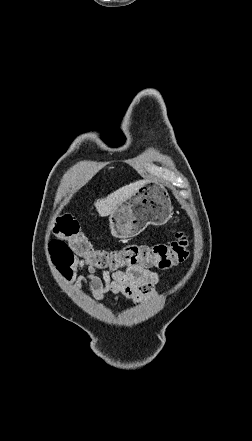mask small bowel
<instances>
[{"instance_id": "obj_1", "label": "small bowel", "mask_w": 252, "mask_h": 441, "mask_svg": "<svg viewBox=\"0 0 252 441\" xmlns=\"http://www.w3.org/2000/svg\"><path fill=\"white\" fill-rule=\"evenodd\" d=\"M86 265L88 266L85 271ZM78 273L81 274L77 275ZM65 277L78 291L83 285H87L91 296L97 300L103 299L107 292L121 294L137 303H146L158 296L156 285L159 275L143 267H132L113 273L104 271L101 278L93 265L84 259L75 258ZM118 299L117 297L116 301Z\"/></svg>"}]
</instances>
